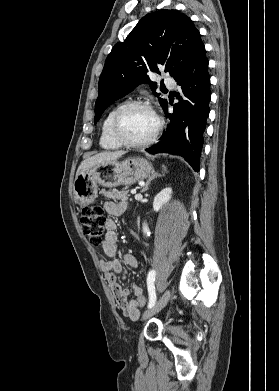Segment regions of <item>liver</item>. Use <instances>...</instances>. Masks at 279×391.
Wrapping results in <instances>:
<instances>
[{"label": "liver", "mask_w": 279, "mask_h": 391, "mask_svg": "<svg viewBox=\"0 0 279 391\" xmlns=\"http://www.w3.org/2000/svg\"><path fill=\"white\" fill-rule=\"evenodd\" d=\"M123 155H124V152H101L99 154L91 156V157L85 159L80 164V166L78 167V170L76 172V178L81 173L87 171L88 169L95 166L96 164L116 161L118 158L122 157Z\"/></svg>", "instance_id": "6515ba94"}]
</instances>
